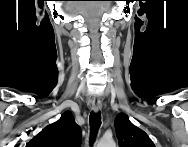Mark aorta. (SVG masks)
<instances>
[{
  "label": "aorta",
  "instance_id": "762f6f07",
  "mask_svg": "<svg viewBox=\"0 0 188 147\" xmlns=\"http://www.w3.org/2000/svg\"><path fill=\"white\" fill-rule=\"evenodd\" d=\"M99 147H115L113 139L103 138L98 142Z\"/></svg>",
  "mask_w": 188,
  "mask_h": 147
}]
</instances>
